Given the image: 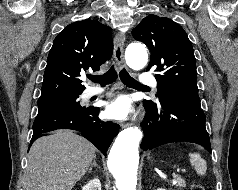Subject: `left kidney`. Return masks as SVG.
Returning a JSON list of instances; mask_svg holds the SVG:
<instances>
[{
    "label": "left kidney",
    "instance_id": "obj_1",
    "mask_svg": "<svg viewBox=\"0 0 238 190\" xmlns=\"http://www.w3.org/2000/svg\"><path fill=\"white\" fill-rule=\"evenodd\" d=\"M157 190H165V189H162V188H158Z\"/></svg>",
    "mask_w": 238,
    "mask_h": 190
}]
</instances>
